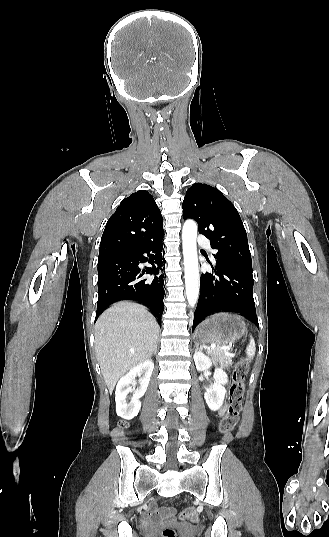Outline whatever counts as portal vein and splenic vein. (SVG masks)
<instances>
[{
    "label": "portal vein and splenic vein",
    "mask_w": 329,
    "mask_h": 537,
    "mask_svg": "<svg viewBox=\"0 0 329 537\" xmlns=\"http://www.w3.org/2000/svg\"><path fill=\"white\" fill-rule=\"evenodd\" d=\"M215 347H212V350H214ZM221 350H224V351H229L231 349V345H228V346H225V347H221L220 348Z\"/></svg>",
    "instance_id": "1"
}]
</instances>
